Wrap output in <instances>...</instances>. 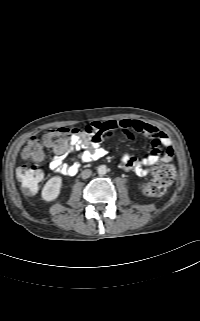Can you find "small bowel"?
Returning <instances> with one entry per match:
<instances>
[{"mask_svg": "<svg viewBox=\"0 0 200 321\" xmlns=\"http://www.w3.org/2000/svg\"><path fill=\"white\" fill-rule=\"evenodd\" d=\"M118 129L128 138H133L134 133H140L151 141L150 151L146 157L139 159L136 155L129 153L122 156L121 166L125 171H134L136 175L144 177L161 159H166L168 153L173 155L169 136L151 124L136 119L94 121L86 124L83 129H74L65 150L54 149L55 156L49 163L50 169L62 175H75L79 170V162L73 160L66 163L64 161L65 152L67 150L78 151L79 160L82 162L98 159L104 155L101 146L102 135H110ZM160 146L166 147L163 156L160 154ZM41 159L42 157L39 160Z\"/></svg>", "mask_w": 200, "mask_h": 321, "instance_id": "obj_1", "label": "small bowel"}]
</instances>
